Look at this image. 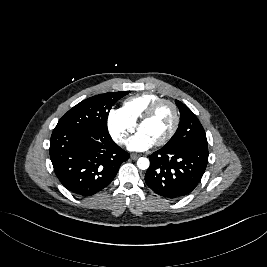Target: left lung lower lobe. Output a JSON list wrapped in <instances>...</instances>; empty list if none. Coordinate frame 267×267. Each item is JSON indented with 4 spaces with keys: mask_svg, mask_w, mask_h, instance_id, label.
I'll use <instances>...</instances> for the list:
<instances>
[{
    "mask_svg": "<svg viewBox=\"0 0 267 267\" xmlns=\"http://www.w3.org/2000/svg\"><path fill=\"white\" fill-rule=\"evenodd\" d=\"M208 154V147L198 144L162 147L149 156L150 166L145 182L162 197H184L200 182L208 163Z\"/></svg>",
    "mask_w": 267,
    "mask_h": 267,
    "instance_id": "left-lung-lower-lobe-1",
    "label": "left lung lower lobe"
}]
</instances>
